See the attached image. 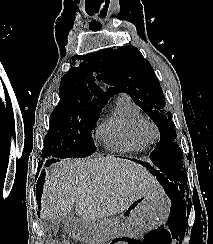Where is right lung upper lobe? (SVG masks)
I'll use <instances>...</instances> for the list:
<instances>
[{
	"mask_svg": "<svg viewBox=\"0 0 213 244\" xmlns=\"http://www.w3.org/2000/svg\"><path fill=\"white\" fill-rule=\"evenodd\" d=\"M96 66L86 63L72 68L61 80L60 101L56 108L69 106H84L102 109L106 102L104 93L95 83L93 72Z\"/></svg>",
	"mask_w": 213,
	"mask_h": 244,
	"instance_id": "1",
	"label": "right lung upper lobe"
}]
</instances>
